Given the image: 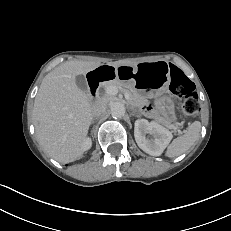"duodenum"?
Returning <instances> with one entry per match:
<instances>
[{
    "label": "duodenum",
    "instance_id": "1",
    "mask_svg": "<svg viewBox=\"0 0 231 231\" xmlns=\"http://www.w3.org/2000/svg\"><path fill=\"white\" fill-rule=\"evenodd\" d=\"M109 69L105 66L96 70L89 80V97L95 99L97 97V88L99 84L108 79Z\"/></svg>",
    "mask_w": 231,
    "mask_h": 231
}]
</instances>
